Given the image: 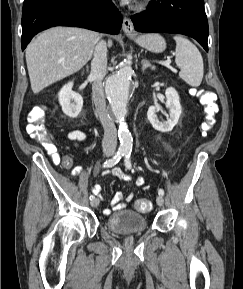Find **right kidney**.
<instances>
[{"label":"right kidney","instance_id":"right-kidney-1","mask_svg":"<svg viewBox=\"0 0 243 289\" xmlns=\"http://www.w3.org/2000/svg\"><path fill=\"white\" fill-rule=\"evenodd\" d=\"M72 87L73 82L64 85L58 93V99L64 114L75 118L82 110L83 98L80 94L72 91Z\"/></svg>","mask_w":243,"mask_h":289}]
</instances>
